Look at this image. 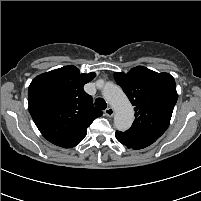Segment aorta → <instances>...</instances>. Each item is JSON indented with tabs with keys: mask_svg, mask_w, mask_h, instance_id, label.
Returning <instances> with one entry per match:
<instances>
[{
	"mask_svg": "<svg viewBox=\"0 0 201 201\" xmlns=\"http://www.w3.org/2000/svg\"><path fill=\"white\" fill-rule=\"evenodd\" d=\"M103 97L114 108V124L117 130H128L134 120V110L129 99L118 85L107 84L103 89Z\"/></svg>",
	"mask_w": 201,
	"mask_h": 201,
	"instance_id": "762f6f07",
	"label": "aorta"
}]
</instances>
